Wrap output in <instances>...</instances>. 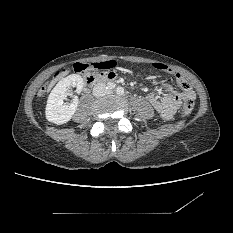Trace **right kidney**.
Here are the masks:
<instances>
[{
	"label": "right kidney",
	"mask_w": 233,
	"mask_h": 233,
	"mask_svg": "<svg viewBox=\"0 0 233 233\" xmlns=\"http://www.w3.org/2000/svg\"><path fill=\"white\" fill-rule=\"evenodd\" d=\"M70 87H76V92L81 93L84 87L83 78L78 74H71L61 79L53 88L45 110L46 119L49 122L57 125L67 123L76 112L79 101L77 96L70 104L64 102Z\"/></svg>",
	"instance_id": "obj_1"
}]
</instances>
